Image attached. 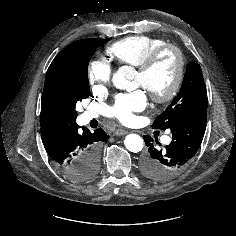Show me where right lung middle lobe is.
I'll use <instances>...</instances> for the list:
<instances>
[{
    "label": "right lung middle lobe",
    "mask_w": 236,
    "mask_h": 236,
    "mask_svg": "<svg viewBox=\"0 0 236 236\" xmlns=\"http://www.w3.org/2000/svg\"><path fill=\"white\" fill-rule=\"evenodd\" d=\"M107 39H82L65 48L58 65L46 77L47 86L54 99L64 107L71 120H75L76 103L89 94L88 64L94 50ZM99 168V155L86 167L82 180L92 178Z\"/></svg>",
    "instance_id": "right-lung-middle-lobe-1"
}]
</instances>
